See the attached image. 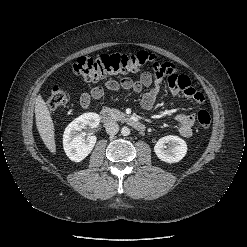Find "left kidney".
<instances>
[{
  "instance_id": "5707ae66",
  "label": "left kidney",
  "mask_w": 247,
  "mask_h": 247,
  "mask_svg": "<svg viewBox=\"0 0 247 247\" xmlns=\"http://www.w3.org/2000/svg\"><path fill=\"white\" fill-rule=\"evenodd\" d=\"M166 144H169L168 147ZM154 152L160 160L167 163H176L186 155L187 144L178 136L168 135L157 141Z\"/></svg>"
}]
</instances>
